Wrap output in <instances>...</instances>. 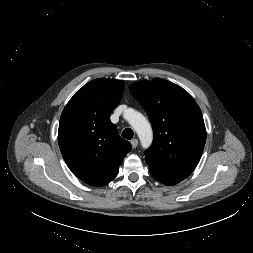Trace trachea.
Segmentation results:
<instances>
[{
    "mask_svg": "<svg viewBox=\"0 0 253 253\" xmlns=\"http://www.w3.org/2000/svg\"><path fill=\"white\" fill-rule=\"evenodd\" d=\"M133 130L131 128H126L123 130L122 132V137L125 138V139H132L133 138Z\"/></svg>",
    "mask_w": 253,
    "mask_h": 253,
    "instance_id": "1",
    "label": "trachea"
}]
</instances>
